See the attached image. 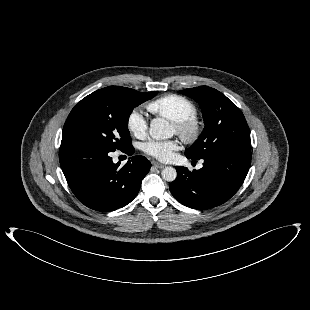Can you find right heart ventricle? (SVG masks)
Instances as JSON below:
<instances>
[{"mask_svg":"<svg viewBox=\"0 0 310 310\" xmlns=\"http://www.w3.org/2000/svg\"><path fill=\"white\" fill-rule=\"evenodd\" d=\"M147 108L151 113L167 118L172 122L195 117L197 114L195 104L190 99L177 94L159 97L151 101Z\"/></svg>","mask_w":310,"mask_h":310,"instance_id":"1","label":"right heart ventricle"}]
</instances>
